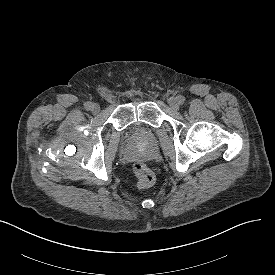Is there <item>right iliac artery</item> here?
Here are the masks:
<instances>
[{
  "label": "right iliac artery",
  "instance_id": "82829eb1",
  "mask_svg": "<svg viewBox=\"0 0 275 275\" xmlns=\"http://www.w3.org/2000/svg\"><path fill=\"white\" fill-rule=\"evenodd\" d=\"M91 105H92L91 102H86L85 105H84V107H85V109H86L87 111H89V110H91Z\"/></svg>",
  "mask_w": 275,
  "mask_h": 275
}]
</instances>
